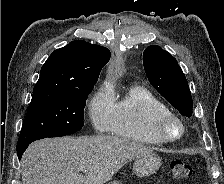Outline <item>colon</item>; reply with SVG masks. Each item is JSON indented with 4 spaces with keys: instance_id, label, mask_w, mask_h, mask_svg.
Wrapping results in <instances>:
<instances>
[{
    "instance_id": "colon-1",
    "label": "colon",
    "mask_w": 224,
    "mask_h": 184,
    "mask_svg": "<svg viewBox=\"0 0 224 184\" xmlns=\"http://www.w3.org/2000/svg\"><path fill=\"white\" fill-rule=\"evenodd\" d=\"M170 170L172 177L177 181H185L192 174V167L181 160L172 161L170 163Z\"/></svg>"
}]
</instances>
